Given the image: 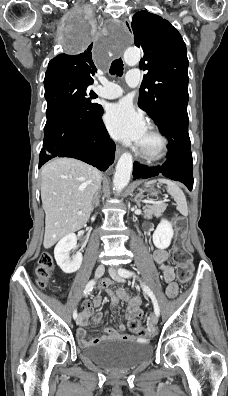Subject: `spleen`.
Here are the masks:
<instances>
[{
    "label": "spleen",
    "instance_id": "3e777b00",
    "mask_svg": "<svg viewBox=\"0 0 228 396\" xmlns=\"http://www.w3.org/2000/svg\"><path fill=\"white\" fill-rule=\"evenodd\" d=\"M156 181L166 184L168 193L176 201V204H177L176 209L182 215L187 216L188 215V207H187L186 197H185L183 191L174 182H172L168 179H165V178H159L158 180H151L147 183V186L155 183Z\"/></svg>",
    "mask_w": 228,
    "mask_h": 396
}]
</instances>
